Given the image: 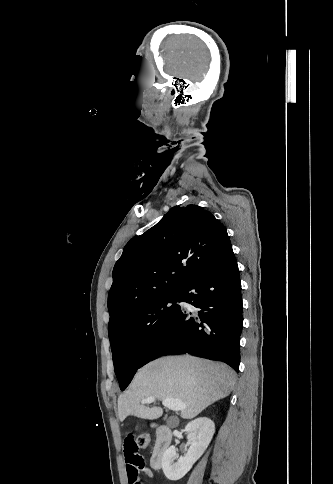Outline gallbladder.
Segmentation results:
<instances>
[{"label":"gallbladder","instance_id":"1","mask_svg":"<svg viewBox=\"0 0 333 484\" xmlns=\"http://www.w3.org/2000/svg\"><path fill=\"white\" fill-rule=\"evenodd\" d=\"M167 425H168L169 427H171V424H170V418H169V419H167Z\"/></svg>","mask_w":333,"mask_h":484}]
</instances>
